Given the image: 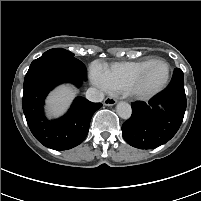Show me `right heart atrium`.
Returning a JSON list of instances; mask_svg holds the SVG:
<instances>
[{
	"mask_svg": "<svg viewBox=\"0 0 201 201\" xmlns=\"http://www.w3.org/2000/svg\"><path fill=\"white\" fill-rule=\"evenodd\" d=\"M92 83L102 92H109L110 87L105 77L103 69L99 65H93L90 72Z\"/></svg>",
	"mask_w": 201,
	"mask_h": 201,
	"instance_id": "d8ad5b80",
	"label": "right heart atrium"
}]
</instances>
